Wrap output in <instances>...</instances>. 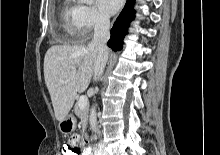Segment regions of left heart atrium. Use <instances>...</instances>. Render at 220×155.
Returning a JSON list of instances; mask_svg holds the SVG:
<instances>
[{"instance_id":"1","label":"left heart atrium","mask_w":220,"mask_h":155,"mask_svg":"<svg viewBox=\"0 0 220 155\" xmlns=\"http://www.w3.org/2000/svg\"><path fill=\"white\" fill-rule=\"evenodd\" d=\"M123 1L124 0H98V4L107 14H114L121 8Z\"/></svg>"}]
</instances>
